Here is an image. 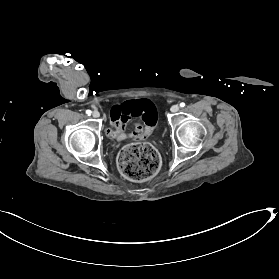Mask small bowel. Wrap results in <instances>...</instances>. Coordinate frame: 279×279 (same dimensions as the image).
Instances as JSON below:
<instances>
[{"label":"small bowel","instance_id":"small-bowel-1","mask_svg":"<svg viewBox=\"0 0 279 279\" xmlns=\"http://www.w3.org/2000/svg\"><path fill=\"white\" fill-rule=\"evenodd\" d=\"M111 127L106 130L109 138L117 141L131 138L141 140L146 138L156 124V110L148 100L125 102L112 107L110 112ZM135 118L134 130L127 134L125 128L129 121Z\"/></svg>","mask_w":279,"mask_h":279}]
</instances>
